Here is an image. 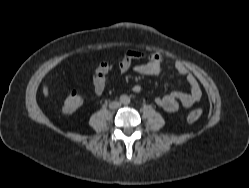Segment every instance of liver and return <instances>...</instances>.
<instances>
[{"mask_svg":"<svg viewBox=\"0 0 249 188\" xmlns=\"http://www.w3.org/2000/svg\"><path fill=\"white\" fill-rule=\"evenodd\" d=\"M43 94L45 97H48V95H49V90H48V87L46 85L43 86Z\"/></svg>","mask_w":249,"mask_h":188,"instance_id":"1","label":"liver"}]
</instances>
